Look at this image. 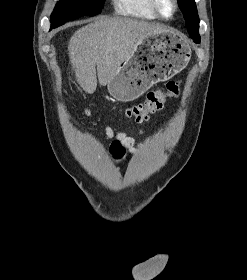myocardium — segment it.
Masks as SVG:
<instances>
[{
    "label": "myocardium",
    "mask_w": 247,
    "mask_h": 280,
    "mask_svg": "<svg viewBox=\"0 0 247 280\" xmlns=\"http://www.w3.org/2000/svg\"><path fill=\"white\" fill-rule=\"evenodd\" d=\"M161 2L162 0H152L153 3V8L156 12V14L159 16V18L163 19V20H171L175 17V15L178 12L179 9V4H178V0H170V2L173 5V13L171 16H166L163 14L162 9H161Z\"/></svg>",
    "instance_id": "obj_1"
}]
</instances>
